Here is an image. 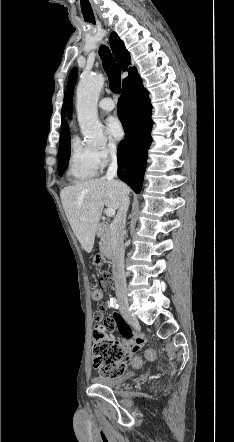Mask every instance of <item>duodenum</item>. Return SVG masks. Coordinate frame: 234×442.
I'll return each instance as SVG.
<instances>
[{
  "mask_svg": "<svg viewBox=\"0 0 234 442\" xmlns=\"http://www.w3.org/2000/svg\"><path fill=\"white\" fill-rule=\"evenodd\" d=\"M97 234L104 239L103 242V253L111 258L113 255V249L110 240V228L106 223H101L98 226Z\"/></svg>",
  "mask_w": 234,
  "mask_h": 442,
  "instance_id": "duodenum-1",
  "label": "duodenum"
}]
</instances>
